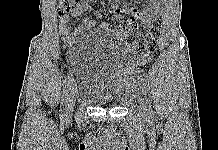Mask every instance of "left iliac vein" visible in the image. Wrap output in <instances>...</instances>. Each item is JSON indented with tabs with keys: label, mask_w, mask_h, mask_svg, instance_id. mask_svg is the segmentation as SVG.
<instances>
[{
	"label": "left iliac vein",
	"mask_w": 218,
	"mask_h": 150,
	"mask_svg": "<svg viewBox=\"0 0 218 150\" xmlns=\"http://www.w3.org/2000/svg\"><path fill=\"white\" fill-rule=\"evenodd\" d=\"M135 94L137 95L139 109H140L141 113L146 116L148 114V109L146 107L145 100H144L143 96L138 91Z\"/></svg>",
	"instance_id": "left-iliac-vein-1"
}]
</instances>
